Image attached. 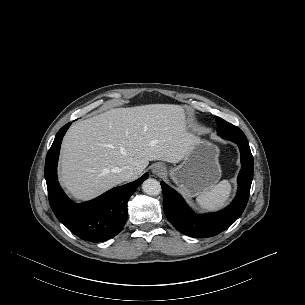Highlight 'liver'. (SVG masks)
<instances>
[{"mask_svg": "<svg viewBox=\"0 0 305 305\" xmlns=\"http://www.w3.org/2000/svg\"><path fill=\"white\" fill-rule=\"evenodd\" d=\"M197 139L179 105L111 109L70 127L61 148L60 181L75 199H90L122 183V167L132 166L135 180L149 161L180 162Z\"/></svg>", "mask_w": 305, "mask_h": 305, "instance_id": "liver-1", "label": "liver"}]
</instances>
